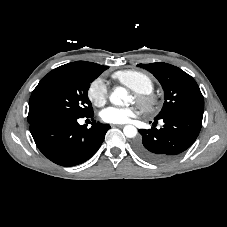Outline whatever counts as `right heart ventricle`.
<instances>
[{
    "label": "right heart ventricle",
    "mask_w": 227,
    "mask_h": 227,
    "mask_svg": "<svg viewBox=\"0 0 227 227\" xmlns=\"http://www.w3.org/2000/svg\"><path fill=\"white\" fill-rule=\"evenodd\" d=\"M112 76L135 93H151L154 89L152 78L141 71L123 70L115 72Z\"/></svg>",
    "instance_id": "1"
}]
</instances>
